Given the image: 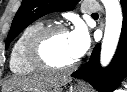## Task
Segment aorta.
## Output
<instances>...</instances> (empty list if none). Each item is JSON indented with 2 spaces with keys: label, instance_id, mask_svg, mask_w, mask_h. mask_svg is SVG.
Instances as JSON below:
<instances>
[{
  "label": "aorta",
  "instance_id": "1",
  "mask_svg": "<svg viewBox=\"0 0 127 92\" xmlns=\"http://www.w3.org/2000/svg\"><path fill=\"white\" fill-rule=\"evenodd\" d=\"M102 3L106 11V23L100 63L105 67L110 63L116 51L121 34L123 16L119 0H102Z\"/></svg>",
  "mask_w": 127,
  "mask_h": 92
}]
</instances>
